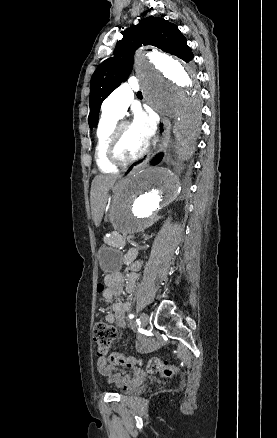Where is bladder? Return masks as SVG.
I'll return each mask as SVG.
<instances>
[{
  "mask_svg": "<svg viewBox=\"0 0 277 438\" xmlns=\"http://www.w3.org/2000/svg\"><path fill=\"white\" fill-rule=\"evenodd\" d=\"M142 382V381H141ZM139 382H129L124 390L120 391L121 396H132L138 391Z\"/></svg>",
  "mask_w": 277,
  "mask_h": 438,
  "instance_id": "1",
  "label": "bladder"
}]
</instances>
